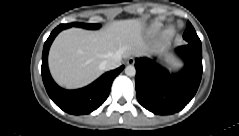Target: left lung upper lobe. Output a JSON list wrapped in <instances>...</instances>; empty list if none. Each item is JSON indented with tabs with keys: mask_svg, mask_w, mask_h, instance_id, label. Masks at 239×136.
Here are the masks:
<instances>
[{
	"mask_svg": "<svg viewBox=\"0 0 239 136\" xmlns=\"http://www.w3.org/2000/svg\"><path fill=\"white\" fill-rule=\"evenodd\" d=\"M183 38L187 41L188 44H193L196 46L201 47V41L199 37L197 36L195 29L191 25V23L188 21L186 25V30L183 34Z\"/></svg>",
	"mask_w": 239,
	"mask_h": 136,
	"instance_id": "5c2ea615",
	"label": "left lung upper lobe"
}]
</instances>
